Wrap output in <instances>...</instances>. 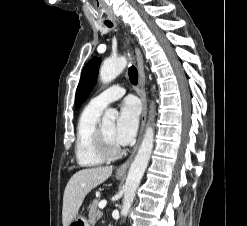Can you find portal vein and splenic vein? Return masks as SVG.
Wrapping results in <instances>:
<instances>
[{
	"instance_id": "18ae733b",
	"label": "portal vein and splenic vein",
	"mask_w": 247,
	"mask_h": 226,
	"mask_svg": "<svg viewBox=\"0 0 247 226\" xmlns=\"http://www.w3.org/2000/svg\"><path fill=\"white\" fill-rule=\"evenodd\" d=\"M107 204V201L106 200H102L100 203H99V208L100 209H103Z\"/></svg>"
}]
</instances>
